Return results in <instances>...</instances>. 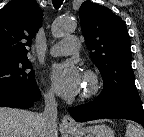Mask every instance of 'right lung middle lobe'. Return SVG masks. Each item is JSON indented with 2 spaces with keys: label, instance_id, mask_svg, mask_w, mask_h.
Returning a JSON list of instances; mask_svg holds the SVG:
<instances>
[{
  "label": "right lung middle lobe",
  "instance_id": "dd1d6c3e",
  "mask_svg": "<svg viewBox=\"0 0 144 137\" xmlns=\"http://www.w3.org/2000/svg\"><path fill=\"white\" fill-rule=\"evenodd\" d=\"M13 91L29 97L39 93L34 70L27 57L0 64V92Z\"/></svg>",
  "mask_w": 144,
  "mask_h": 137
}]
</instances>
